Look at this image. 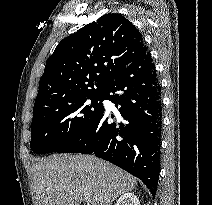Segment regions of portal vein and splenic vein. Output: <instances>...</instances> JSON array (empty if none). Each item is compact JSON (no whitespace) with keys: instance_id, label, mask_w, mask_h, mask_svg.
<instances>
[{"instance_id":"18ae733b","label":"portal vein and splenic vein","mask_w":212,"mask_h":205,"mask_svg":"<svg viewBox=\"0 0 212 205\" xmlns=\"http://www.w3.org/2000/svg\"><path fill=\"white\" fill-rule=\"evenodd\" d=\"M85 201H86L87 203H90L91 199H90L89 197H86V198H85ZM88 205H89V204H88Z\"/></svg>"}]
</instances>
